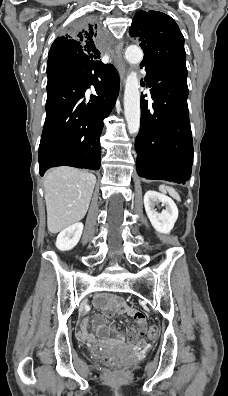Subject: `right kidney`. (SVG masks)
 <instances>
[{
  "instance_id": "right-kidney-1",
  "label": "right kidney",
  "mask_w": 228,
  "mask_h": 396,
  "mask_svg": "<svg viewBox=\"0 0 228 396\" xmlns=\"http://www.w3.org/2000/svg\"><path fill=\"white\" fill-rule=\"evenodd\" d=\"M82 232L83 224L81 222L67 227L57 236L56 247L61 251L73 249L78 244Z\"/></svg>"
}]
</instances>
